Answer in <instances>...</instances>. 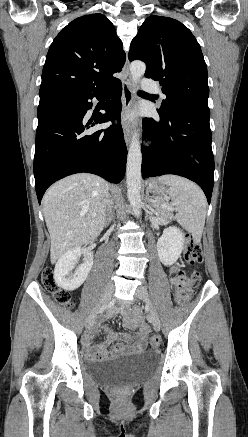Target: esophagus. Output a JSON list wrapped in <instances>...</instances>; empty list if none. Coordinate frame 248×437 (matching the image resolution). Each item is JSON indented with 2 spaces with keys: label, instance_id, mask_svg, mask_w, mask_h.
Returning <instances> with one entry per match:
<instances>
[{
  "label": "esophagus",
  "instance_id": "esophagus-1",
  "mask_svg": "<svg viewBox=\"0 0 248 437\" xmlns=\"http://www.w3.org/2000/svg\"><path fill=\"white\" fill-rule=\"evenodd\" d=\"M122 100H123V133L124 139L127 145H129L131 140V126L126 121V115L129 112L132 102H133V91L131 83V73L129 69V60L126 57V62L123 67V77H122Z\"/></svg>",
  "mask_w": 248,
  "mask_h": 437
}]
</instances>
